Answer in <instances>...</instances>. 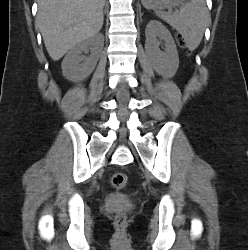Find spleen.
Returning a JSON list of instances; mask_svg holds the SVG:
<instances>
[{"label": "spleen", "mask_w": 248, "mask_h": 250, "mask_svg": "<svg viewBox=\"0 0 248 250\" xmlns=\"http://www.w3.org/2000/svg\"><path fill=\"white\" fill-rule=\"evenodd\" d=\"M158 16L178 31L190 50L199 46L210 23L205 0H190L179 11L172 14L159 12Z\"/></svg>", "instance_id": "3e777b00"}]
</instances>
